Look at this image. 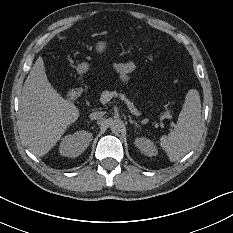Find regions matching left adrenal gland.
<instances>
[{"mask_svg":"<svg viewBox=\"0 0 233 233\" xmlns=\"http://www.w3.org/2000/svg\"><path fill=\"white\" fill-rule=\"evenodd\" d=\"M129 121H130V123H134L137 127H140L139 124L135 120L130 119Z\"/></svg>","mask_w":233,"mask_h":233,"instance_id":"left-adrenal-gland-1","label":"left adrenal gland"}]
</instances>
